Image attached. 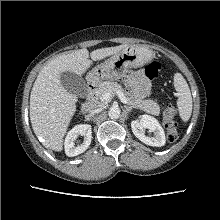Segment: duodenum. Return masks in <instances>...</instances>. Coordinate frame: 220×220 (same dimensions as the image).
Listing matches in <instances>:
<instances>
[{"mask_svg":"<svg viewBox=\"0 0 220 220\" xmlns=\"http://www.w3.org/2000/svg\"><path fill=\"white\" fill-rule=\"evenodd\" d=\"M96 105V84L90 81L87 87V101L84 105L85 114H90L96 108Z\"/></svg>","mask_w":220,"mask_h":220,"instance_id":"obj_1","label":"duodenum"}]
</instances>
